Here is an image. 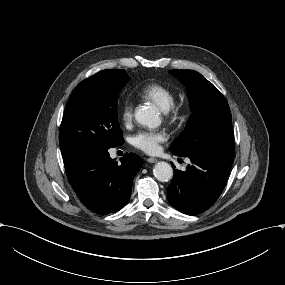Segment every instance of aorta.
<instances>
[{"label": "aorta", "mask_w": 285, "mask_h": 285, "mask_svg": "<svg viewBox=\"0 0 285 285\" xmlns=\"http://www.w3.org/2000/svg\"><path fill=\"white\" fill-rule=\"evenodd\" d=\"M135 120L148 128H157L161 124L159 112L153 106H142L135 112ZM154 176L160 182H168L173 177V169L167 162H158L153 170Z\"/></svg>", "instance_id": "aorta-1"}]
</instances>
